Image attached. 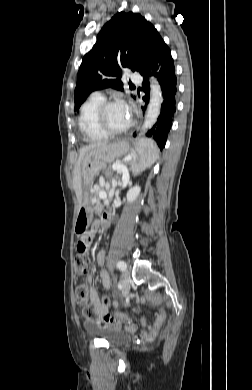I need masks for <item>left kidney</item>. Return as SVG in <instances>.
Segmentation results:
<instances>
[{
    "label": "left kidney",
    "mask_w": 252,
    "mask_h": 390,
    "mask_svg": "<svg viewBox=\"0 0 252 390\" xmlns=\"http://www.w3.org/2000/svg\"><path fill=\"white\" fill-rule=\"evenodd\" d=\"M140 191H141V188L138 185L130 188L129 191L127 192V195H126L127 201L129 203L134 202L137 199Z\"/></svg>",
    "instance_id": "obj_1"
}]
</instances>
